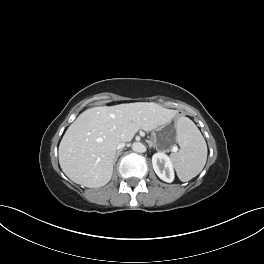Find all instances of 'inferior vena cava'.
I'll return each instance as SVG.
<instances>
[{"mask_svg": "<svg viewBox=\"0 0 264 264\" xmlns=\"http://www.w3.org/2000/svg\"><path fill=\"white\" fill-rule=\"evenodd\" d=\"M124 146H125V143L121 141L118 143L117 149L123 148Z\"/></svg>", "mask_w": 264, "mask_h": 264, "instance_id": "inferior-vena-cava-1", "label": "inferior vena cava"}]
</instances>
